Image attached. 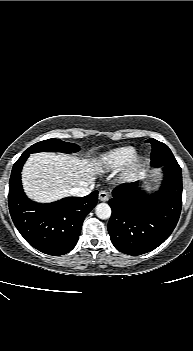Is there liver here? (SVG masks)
<instances>
[{
  "mask_svg": "<svg viewBox=\"0 0 193 351\" xmlns=\"http://www.w3.org/2000/svg\"><path fill=\"white\" fill-rule=\"evenodd\" d=\"M100 163L65 154L36 153L30 155L22 171L26 194L41 203L62 199L72 188L94 184Z\"/></svg>",
  "mask_w": 193,
  "mask_h": 351,
  "instance_id": "1",
  "label": "liver"
}]
</instances>
